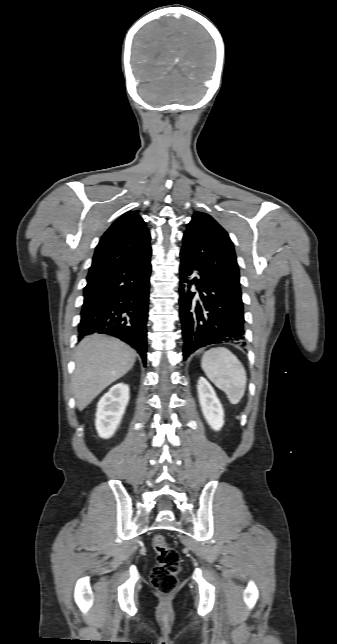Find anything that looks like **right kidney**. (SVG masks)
<instances>
[{
    "label": "right kidney",
    "instance_id": "ca27d5eb",
    "mask_svg": "<svg viewBox=\"0 0 337 644\" xmlns=\"http://www.w3.org/2000/svg\"><path fill=\"white\" fill-rule=\"evenodd\" d=\"M129 401V386L114 385L97 404L95 426L101 438H110L117 430Z\"/></svg>",
    "mask_w": 337,
    "mask_h": 644
}]
</instances>
